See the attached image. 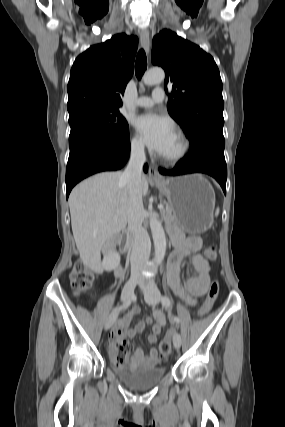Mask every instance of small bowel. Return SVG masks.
<instances>
[{"mask_svg": "<svg viewBox=\"0 0 285 427\" xmlns=\"http://www.w3.org/2000/svg\"><path fill=\"white\" fill-rule=\"evenodd\" d=\"M171 234L175 250L168 260L167 275L169 284L178 296L184 299L188 304L195 305L196 299L203 296L210 285V263L199 254L203 244L201 238L197 236L185 238L175 229L171 230ZM186 257L191 258L196 271V275L190 276L186 282V288L189 294H186L184 287L180 283V266L182 260ZM139 312L140 306H134L131 311L125 314L113 327V340L110 342L109 352L115 365L128 367L144 365L153 366L157 363V351L155 348H151L148 355H145L142 349L136 348L131 356H129L128 353L125 362L122 364L118 363L114 358L115 349L126 343V339H133L137 334L141 333L146 326H152V333L148 336V341L151 344L156 343L158 337L162 333L166 325V317L160 310L154 312V319L147 317L132 328L131 321Z\"/></svg>", "mask_w": 285, "mask_h": 427, "instance_id": "obj_1", "label": "small bowel"}]
</instances>
